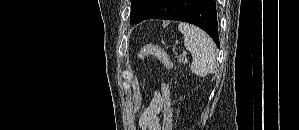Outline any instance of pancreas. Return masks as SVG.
<instances>
[{
    "instance_id": "pancreas-1",
    "label": "pancreas",
    "mask_w": 299,
    "mask_h": 130,
    "mask_svg": "<svg viewBox=\"0 0 299 130\" xmlns=\"http://www.w3.org/2000/svg\"><path fill=\"white\" fill-rule=\"evenodd\" d=\"M178 61L181 62V63H186V62H187V59H186L185 57H180V58L178 59Z\"/></svg>"
}]
</instances>
